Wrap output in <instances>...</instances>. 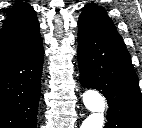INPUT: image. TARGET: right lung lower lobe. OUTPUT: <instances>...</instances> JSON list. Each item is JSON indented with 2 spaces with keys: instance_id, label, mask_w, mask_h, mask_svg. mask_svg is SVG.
Returning <instances> with one entry per match:
<instances>
[{
  "instance_id": "1",
  "label": "right lung lower lobe",
  "mask_w": 142,
  "mask_h": 128,
  "mask_svg": "<svg viewBox=\"0 0 142 128\" xmlns=\"http://www.w3.org/2000/svg\"><path fill=\"white\" fill-rule=\"evenodd\" d=\"M42 41L0 66V128H36L43 65Z\"/></svg>"
}]
</instances>
